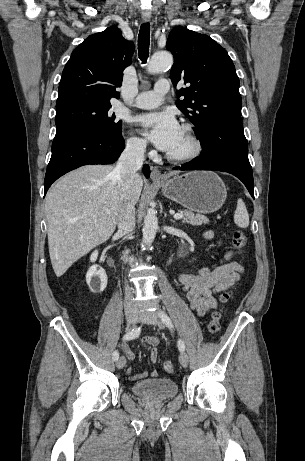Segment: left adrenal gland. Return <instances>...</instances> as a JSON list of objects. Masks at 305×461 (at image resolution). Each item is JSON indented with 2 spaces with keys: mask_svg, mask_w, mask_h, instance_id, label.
Wrapping results in <instances>:
<instances>
[{
  "mask_svg": "<svg viewBox=\"0 0 305 461\" xmlns=\"http://www.w3.org/2000/svg\"><path fill=\"white\" fill-rule=\"evenodd\" d=\"M170 221H171V222H173V223H175V221H174V220H172V219H171Z\"/></svg>",
  "mask_w": 305,
  "mask_h": 461,
  "instance_id": "obj_1",
  "label": "left adrenal gland"
}]
</instances>
